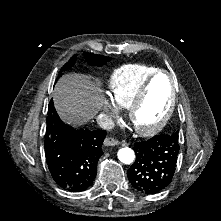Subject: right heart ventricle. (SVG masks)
<instances>
[{"mask_svg": "<svg viewBox=\"0 0 221 221\" xmlns=\"http://www.w3.org/2000/svg\"><path fill=\"white\" fill-rule=\"evenodd\" d=\"M156 70L144 64H127L115 69L109 79V88L115 101L121 107H128L139 88Z\"/></svg>", "mask_w": 221, "mask_h": 221, "instance_id": "right-heart-ventricle-1", "label": "right heart ventricle"}]
</instances>
